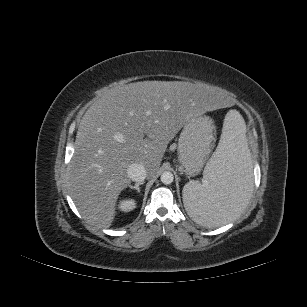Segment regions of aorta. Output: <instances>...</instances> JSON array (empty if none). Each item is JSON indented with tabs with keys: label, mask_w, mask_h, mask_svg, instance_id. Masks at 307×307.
<instances>
[{
	"label": "aorta",
	"mask_w": 307,
	"mask_h": 307,
	"mask_svg": "<svg viewBox=\"0 0 307 307\" xmlns=\"http://www.w3.org/2000/svg\"><path fill=\"white\" fill-rule=\"evenodd\" d=\"M160 179H161V182L163 183V184H171L172 182H173V180H174V175H173V173L172 172H170V171H164L162 174H161V177H160Z\"/></svg>",
	"instance_id": "aorta-1"
}]
</instances>
